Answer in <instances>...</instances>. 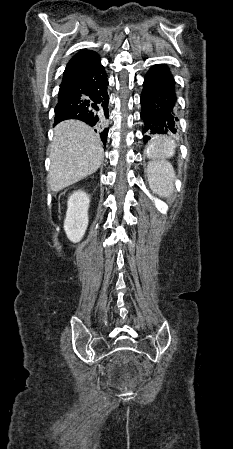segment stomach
<instances>
[{
    "label": "stomach",
    "mask_w": 233,
    "mask_h": 449,
    "mask_svg": "<svg viewBox=\"0 0 233 449\" xmlns=\"http://www.w3.org/2000/svg\"><path fill=\"white\" fill-rule=\"evenodd\" d=\"M155 143H150L147 147V153L148 155H150L151 157H159L157 155V150L156 147L154 146Z\"/></svg>",
    "instance_id": "obj_1"
}]
</instances>
